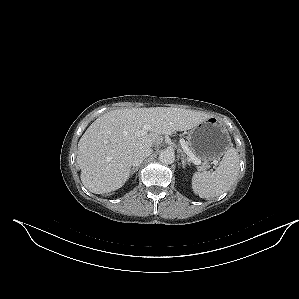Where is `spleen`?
I'll return each instance as SVG.
<instances>
[{
  "instance_id": "spleen-1",
  "label": "spleen",
  "mask_w": 299,
  "mask_h": 299,
  "mask_svg": "<svg viewBox=\"0 0 299 299\" xmlns=\"http://www.w3.org/2000/svg\"><path fill=\"white\" fill-rule=\"evenodd\" d=\"M239 172V155L230 147L215 171L195 172L192 188L200 198H214L227 191L237 180Z\"/></svg>"
}]
</instances>
